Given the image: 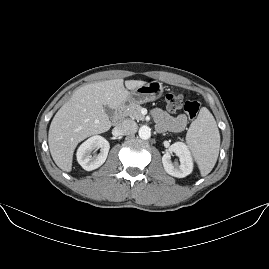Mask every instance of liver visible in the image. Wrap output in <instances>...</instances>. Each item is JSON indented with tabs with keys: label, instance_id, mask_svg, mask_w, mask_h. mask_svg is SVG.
Segmentation results:
<instances>
[{
	"label": "liver",
	"instance_id": "1",
	"mask_svg": "<svg viewBox=\"0 0 269 269\" xmlns=\"http://www.w3.org/2000/svg\"><path fill=\"white\" fill-rule=\"evenodd\" d=\"M146 82L113 79L85 85L76 90L54 116L48 135L49 149L56 165L63 171L72 169L73 152L85 138L104 133L111 121L103 106L118 109L130 94Z\"/></svg>",
	"mask_w": 269,
	"mask_h": 269
}]
</instances>
